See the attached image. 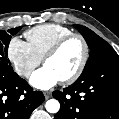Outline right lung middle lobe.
Here are the masks:
<instances>
[{
	"label": "right lung middle lobe",
	"mask_w": 119,
	"mask_h": 119,
	"mask_svg": "<svg viewBox=\"0 0 119 119\" xmlns=\"http://www.w3.org/2000/svg\"><path fill=\"white\" fill-rule=\"evenodd\" d=\"M21 27L9 29L8 33L0 31V74H13V68L11 67L8 55V44L11 40V36L16 34Z\"/></svg>",
	"instance_id": "obj_1"
}]
</instances>
